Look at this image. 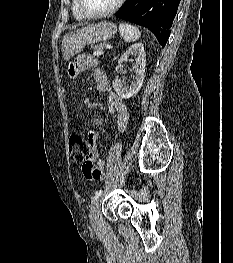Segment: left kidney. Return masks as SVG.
<instances>
[{
  "mask_svg": "<svg viewBox=\"0 0 233 263\" xmlns=\"http://www.w3.org/2000/svg\"><path fill=\"white\" fill-rule=\"evenodd\" d=\"M130 55L136 57V62L132 66V71L134 72V81L130 86L126 84L125 80L120 78H116L113 81V88L122 99H129L136 95L140 91L145 77L146 55L142 43H136L132 45L123 53V55L118 60V66L115 68L116 71L121 69V64L126 61Z\"/></svg>",
  "mask_w": 233,
  "mask_h": 263,
  "instance_id": "1",
  "label": "left kidney"
}]
</instances>
